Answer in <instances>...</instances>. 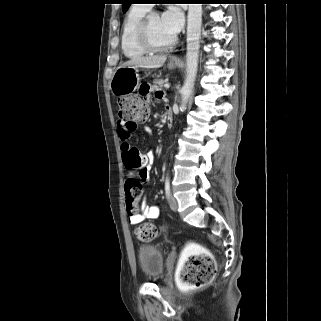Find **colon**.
Here are the masks:
<instances>
[{
	"label": "colon",
	"instance_id": "5ec220e1",
	"mask_svg": "<svg viewBox=\"0 0 321 321\" xmlns=\"http://www.w3.org/2000/svg\"><path fill=\"white\" fill-rule=\"evenodd\" d=\"M118 117L128 128L136 129L137 126L148 119L149 108L143 103L141 97L125 96L118 101ZM125 165L130 170L141 169L145 165L141 154L136 151L131 153ZM126 209L132 215L140 205L142 186L138 179L130 177L125 182ZM136 237L141 241H151L157 236V229L151 223H144L136 227ZM217 266L213 255L202 245L189 242L186 246L180 269V279L184 285L202 287L212 281L216 274Z\"/></svg>",
	"mask_w": 321,
	"mask_h": 321
}]
</instances>
